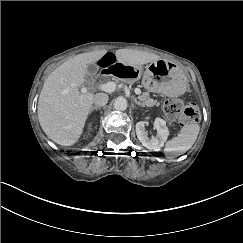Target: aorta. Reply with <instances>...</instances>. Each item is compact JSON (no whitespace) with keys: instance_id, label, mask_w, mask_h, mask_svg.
I'll list each match as a JSON object with an SVG mask.
<instances>
[{"instance_id":"1","label":"aorta","mask_w":243,"mask_h":243,"mask_svg":"<svg viewBox=\"0 0 243 243\" xmlns=\"http://www.w3.org/2000/svg\"><path fill=\"white\" fill-rule=\"evenodd\" d=\"M113 107L116 111L123 112L127 109L128 103L127 100L123 97H118L113 104Z\"/></svg>"}]
</instances>
